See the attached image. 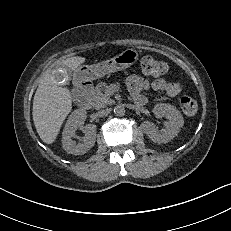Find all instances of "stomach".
<instances>
[{
	"label": "stomach",
	"instance_id": "stomach-1",
	"mask_svg": "<svg viewBox=\"0 0 231 231\" xmlns=\"http://www.w3.org/2000/svg\"><path fill=\"white\" fill-rule=\"evenodd\" d=\"M138 51L127 49L106 61L93 65H82L76 71L75 75L79 80H95L113 72L125 70L137 62Z\"/></svg>",
	"mask_w": 231,
	"mask_h": 231
}]
</instances>
